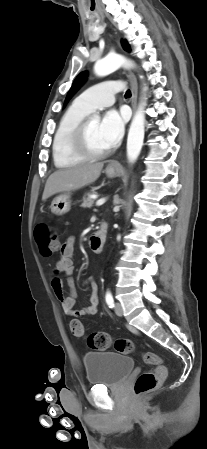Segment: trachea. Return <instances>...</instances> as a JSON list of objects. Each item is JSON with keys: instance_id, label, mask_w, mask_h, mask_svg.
I'll return each instance as SVG.
<instances>
[{"instance_id": "1", "label": "trachea", "mask_w": 207, "mask_h": 449, "mask_svg": "<svg viewBox=\"0 0 207 449\" xmlns=\"http://www.w3.org/2000/svg\"><path fill=\"white\" fill-rule=\"evenodd\" d=\"M125 97H126V98H130V97H131V91H130V90H127V91H126Z\"/></svg>"}]
</instances>
